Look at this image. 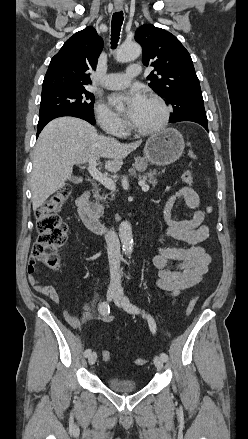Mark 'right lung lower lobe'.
I'll return each mask as SVG.
<instances>
[{"label":"right lung lower lobe","mask_w":248,"mask_h":439,"mask_svg":"<svg viewBox=\"0 0 248 439\" xmlns=\"http://www.w3.org/2000/svg\"><path fill=\"white\" fill-rule=\"evenodd\" d=\"M62 116H73V117H77V118H81L83 120H86L87 122H89L92 125L95 124L94 115H89V114H86V113H83V112H76V111L58 112V113L52 114L50 116H47L45 118L39 119L38 130H37V137L40 134L41 130L44 128V126L48 122H50L51 120H53L55 118L62 117Z\"/></svg>","instance_id":"right-lung-lower-lobe-1"}]
</instances>
